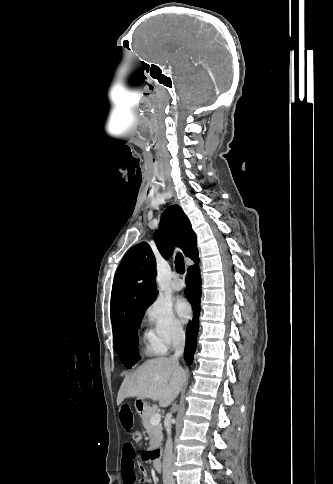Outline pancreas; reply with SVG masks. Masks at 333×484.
I'll return each mask as SVG.
<instances>
[{
    "label": "pancreas",
    "instance_id": "obj_1",
    "mask_svg": "<svg viewBox=\"0 0 333 484\" xmlns=\"http://www.w3.org/2000/svg\"><path fill=\"white\" fill-rule=\"evenodd\" d=\"M157 409L158 407L156 405L148 407L145 413L141 416L143 427L146 429V433L150 437V450L160 446L163 440L162 425L160 423L157 425H151L150 423V419L153 414L157 413Z\"/></svg>",
    "mask_w": 333,
    "mask_h": 484
}]
</instances>
